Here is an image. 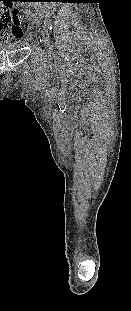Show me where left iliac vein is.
Returning a JSON list of instances; mask_svg holds the SVG:
<instances>
[{"label": "left iliac vein", "instance_id": "1", "mask_svg": "<svg viewBox=\"0 0 131 311\" xmlns=\"http://www.w3.org/2000/svg\"><path fill=\"white\" fill-rule=\"evenodd\" d=\"M42 40L44 42V45L47 51L52 52V45L50 43L49 32L46 28L42 30Z\"/></svg>", "mask_w": 131, "mask_h": 311}]
</instances>
